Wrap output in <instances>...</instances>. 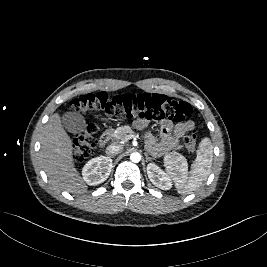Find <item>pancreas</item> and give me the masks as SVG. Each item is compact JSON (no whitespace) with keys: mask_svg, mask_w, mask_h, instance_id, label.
<instances>
[{"mask_svg":"<svg viewBox=\"0 0 267 267\" xmlns=\"http://www.w3.org/2000/svg\"><path fill=\"white\" fill-rule=\"evenodd\" d=\"M110 133H111V136L118 141H126L127 136H129V135L134 136L135 135L134 131L128 125L118 127L117 129L111 131ZM175 155H176V153L167 154L166 158L172 159L175 157Z\"/></svg>","mask_w":267,"mask_h":267,"instance_id":"1","label":"pancreas"}]
</instances>
